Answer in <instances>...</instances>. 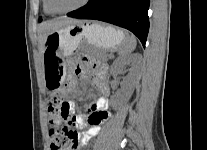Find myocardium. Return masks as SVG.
<instances>
[{"instance_id":"1","label":"myocardium","mask_w":207,"mask_h":150,"mask_svg":"<svg viewBox=\"0 0 207 150\" xmlns=\"http://www.w3.org/2000/svg\"><path fill=\"white\" fill-rule=\"evenodd\" d=\"M45 1H46V4H47L48 9L52 13H54V14H68V13L74 12V11H76L78 9H81L82 7H84L85 5H87L90 0H82V2L80 4H78L77 6H75L73 8L67 9V10H57V9H55L53 7L51 0H45Z\"/></svg>"}]
</instances>
